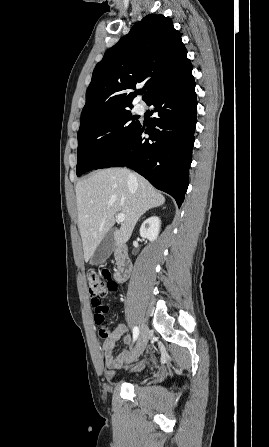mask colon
Wrapping results in <instances>:
<instances>
[{"label":"colon","mask_w":269,"mask_h":447,"mask_svg":"<svg viewBox=\"0 0 269 447\" xmlns=\"http://www.w3.org/2000/svg\"><path fill=\"white\" fill-rule=\"evenodd\" d=\"M101 267H105L103 263H100L95 269L91 267L86 274L88 292L91 295L90 302L92 306L96 307L97 312L93 313V318L99 324V331L97 336L99 339H114L115 331L110 330V323L104 322L108 308L105 305H101L100 297L107 296L113 291V280L110 276H101L99 270Z\"/></svg>","instance_id":"5ec220e1"}]
</instances>
